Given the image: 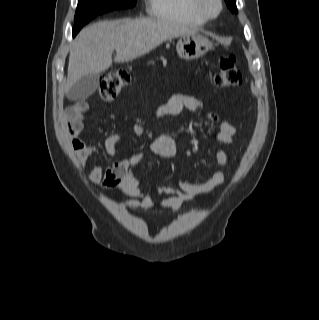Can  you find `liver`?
<instances>
[{
	"mask_svg": "<svg viewBox=\"0 0 319 320\" xmlns=\"http://www.w3.org/2000/svg\"><path fill=\"white\" fill-rule=\"evenodd\" d=\"M197 30L164 19H120L100 21L83 28L69 55L67 93L83 76L99 74L115 62L141 57L168 39L196 34Z\"/></svg>",
	"mask_w": 319,
	"mask_h": 320,
	"instance_id": "liver-1",
	"label": "liver"
}]
</instances>
